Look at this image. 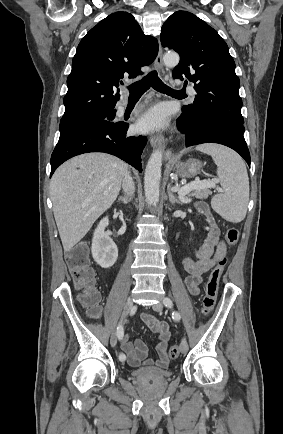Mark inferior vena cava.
Here are the masks:
<instances>
[{
	"label": "inferior vena cava",
	"instance_id": "obj_1",
	"mask_svg": "<svg viewBox=\"0 0 283 434\" xmlns=\"http://www.w3.org/2000/svg\"><path fill=\"white\" fill-rule=\"evenodd\" d=\"M122 188H123V191L125 192V194L127 196H130V198H131V196L134 193L135 186H134L133 180H132V178L128 172L124 176V179L122 182Z\"/></svg>",
	"mask_w": 283,
	"mask_h": 434
}]
</instances>
